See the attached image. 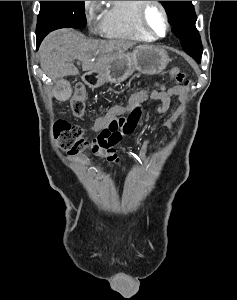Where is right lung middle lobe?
<instances>
[{"label":"right lung middle lobe","mask_w":237,"mask_h":300,"mask_svg":"<svg viewBox=\"0 0 237 300\" xmlns=\"http://www.w3.org/2000/svg\"><path fill=\"white\" fill-rule=\"evenodd\" d=\"M37 19V46L51 31L59 28H84V1H40Z\"/></svg>","instance_id":"1"}]
</instances>
